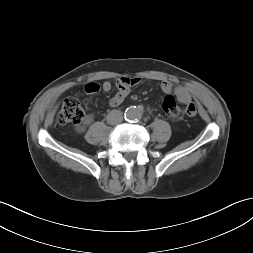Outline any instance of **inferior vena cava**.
<instances>
[{"instance_id":"602c4592","label":"inferior vena cava","mask_w":253,"mask_h":253,"mask_svg":"<svg viewBox=\"0 0 253 253\" xmlns=\"http://www.w3.org/2000/svg\"><path fill=\"white\" fill-rule=\"evenodd\" d=\"M123 120V114L119 110H112L107 115V122L111 125L121 123Z\"/></svg>"}]
</instances>
